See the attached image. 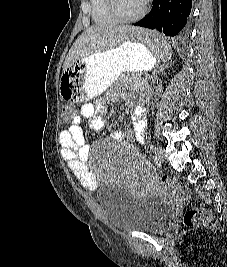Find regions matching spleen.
<instances>
[{
	"label": "spleen",
	"instance_id": "spleen-1",
	"mask_svg": "<svg viewBox=\"0 0 227 267\" xmlns=\"http://www.w3.org/2000/svg\"><path fill=\"white\" fill-rule=\"evenodd\" d=\"M124 30H138V33H128L130 42L142 43V47H149L156 63H171V38H162L163 31H154V27H143L142 30L139 25H124Z\"/></svg>",
	"mask_w": 227,
	"mask_h": 267
}]
</instances>
